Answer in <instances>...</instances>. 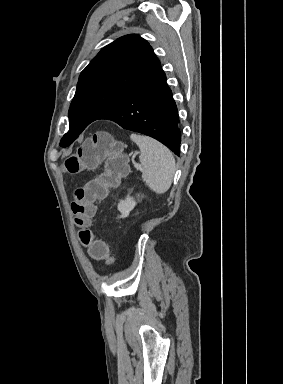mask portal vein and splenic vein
Returning a JSON list of instances; mask_svg holds the SVG:
<instances>
[{
	"instance_id": "portal-vein-and-splenic-vein-1",
	"label": "portal vein and splenic vein",
	"mask_w": 283,
	"mask_h": 384,
	"mask_svg": "<svg viewBox=\"0 0 283 384\" xmlns=\"http://www.w3.org/2000/svg\"><path fill=\"white\" fill-rule=\"evenodd\" d=\"M135 168H137V170H141L140 164H135Z\"/></svg>"
}]
</instances>
